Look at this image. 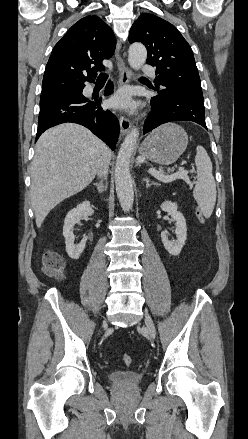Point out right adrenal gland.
I'll return each instance as SVG.
<instances>
[{"mask_svg":"<svg viewBox=\"0 0 248 439\" xmlns=\"http://www.w3.org/2000/svg\"><path fill=\"white\" fill-rule=\"evenodd\" d=\"M94 186L97 188L99 193H102L107 189V182L105 184H103V182L94 183Z\"/></svg>","mask_w":248,"mask_h":439,"instance_id":"right-adrenal-gland-1","label":"right adrenal gland"}]
</instances>
